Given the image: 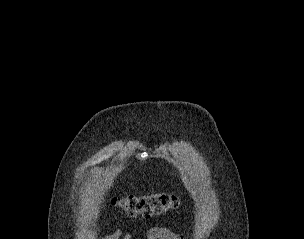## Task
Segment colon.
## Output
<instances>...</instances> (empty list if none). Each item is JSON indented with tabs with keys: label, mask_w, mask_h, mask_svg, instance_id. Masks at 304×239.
<instances>
[{
	"label": "colon",
	"mask_w": 304,
	"mask_h": 239,
	"mask_svg": "<svg viewBox=\"0 0 304 239\" xmlns=\"http://www.w3.org/2000/svg\"><path fill=\"white\" fill-rule=\"evenodd\" d=\"M113 204L123 209L131 217H150L178 208L180 200L176 195L171 193L152 192L115 198Z\"/></svg>",
	"instance_id": "1"
}]
</instances>
